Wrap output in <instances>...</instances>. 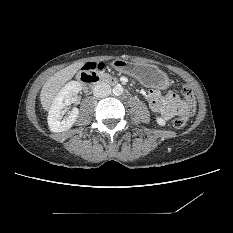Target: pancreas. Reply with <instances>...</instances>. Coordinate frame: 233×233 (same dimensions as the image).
I'll list each match as a JSON object with an SVG mask.
<instances>
[{
    "mask_svg": "<svg viewBox=\"0 0 233 233\" xmlns=\"http://www.w3.org/2000/svg\"><path fill=\"white\" fill-rule=\"evenodd\" d=\"M109 77L110 76L108 74H105V73L101 74L102 79H108Z\"/></svg>",
    "mask_w": 233,
    "mask_h": 233,
    "instance_id": "1",
    "label": "pancreas"
}]
</instances>
